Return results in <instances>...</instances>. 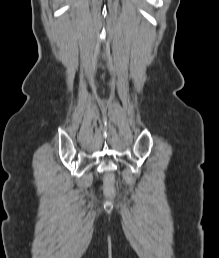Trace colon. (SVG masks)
<instances>
[{
    "label": "colon",
    "instance_id": "colon-1",
    "mask_svg": "<svg viewBox=\"0 0 219 258\" xmlns=\"http://www.w3.org/2000/svg\"><path fill=\"white\" fill-rule=\"evenodd\" d=\"M114 182H115V177H114V174L109 172L107 175H106V178H105V186H104V189H105V193L108 197L112 198L114 196Z\"/></svg>",
    "mask_w": 219,
    "mask_h": 258
}]
</instances>
